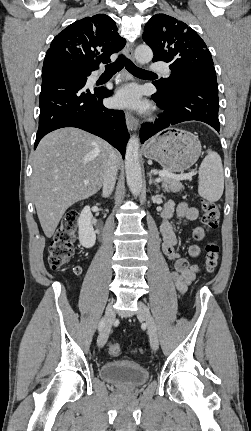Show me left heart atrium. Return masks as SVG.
<instances>
[{"label":"left heart atrium","mask_w":251,"mask_h":431,"mask_svg":"<svg viewBox=\"0 0 251 431\" xmlns=\"http://www.w3.org/2000/svg\"><path fill=\"white\" fill-rule=\"evenodd\" d=\"M114 103L118 107L140 108V92L136 87L130 86L121 89L114 98Z\"/></svg>","instance_id":"1"}]
</instances>
